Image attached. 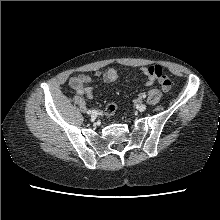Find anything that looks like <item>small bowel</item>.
Instances as JSON below:
<instances>
[{
  "mask_svg": "<svg viewBox=\"0 0 220 220\" xmlns=\"http://www.w3.org/2000/svg\"><path fill=\"white\" fill-rule=\"evenodd\" d=\"M141 73L145 76L146 85H152L156 78L150 74L149 67H142ZM101 77L105 82H113L117 79V72L115 69H108L105 72H99L97 74ZM91 78L85 74H79L76 76H72L69 79V86L78 94L86 96L88 99L94 98V89L90 85Z\"/></svg>",
  "mask_w": 220,
  "mask_h": 220,
  "instance_id": "c3829d8e",
  "label": "small bowel"
}]
</instances>
